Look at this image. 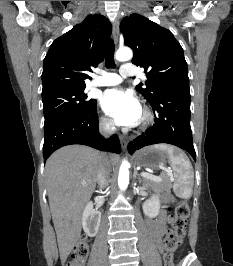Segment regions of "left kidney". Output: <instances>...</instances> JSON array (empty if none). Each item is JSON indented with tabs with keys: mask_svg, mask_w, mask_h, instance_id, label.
<instances>
[{
	"mask_svg": "<svg viewBox=\"0 0 233 266\" xmlns=\"http://www.w3.org/2000/svg\"><path fill=\"white\" fill-rule=\"evenodd\" d=\"M143 212L150 218H155L159 214L160 200L159 195L154 194L150 199L146 200L143 205Z\"/></svg>",
	"mask_w": 233,
	"mask_h": 266,
	"instance_id": "obj_1",
	"label": "left kidney"
}]
</instances>
